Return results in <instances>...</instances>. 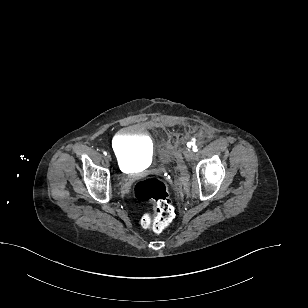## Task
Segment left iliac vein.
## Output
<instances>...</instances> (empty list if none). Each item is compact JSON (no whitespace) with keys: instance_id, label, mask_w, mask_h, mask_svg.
Masks as SVG:
<instances>
[{"instance_id":"1","label":"left iliac vein","mask_w":308,"mask_h":308,"mask_svg":"<svg viewBox=\"0 0 308 308\" xmlns=\"http://www.w3.org/2000/svg\"><path fill=\"white\" fill-rule=\"evenodd\" d=\"M194 155H195V153H194V151L191 150V149H186V150L184 151V156H185V158H186L187 160H192V159L194 158Z\"/></svg>"}]
</instances>
